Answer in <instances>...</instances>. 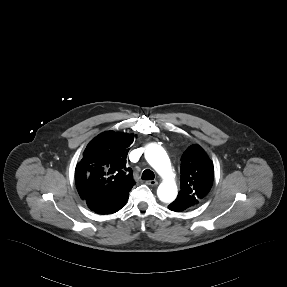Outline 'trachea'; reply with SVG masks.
<instances>
[{"label": "trachea", "mask_w": 287, "mask_h": 287, "mask_svg": "<svg viewBox=\"0 0 287 287\" xmlns=\"http://www.w3.org/2000/svg\"><path fill=\"white\" fill-rule=\"evenodd\" d=\"M155 177L153 171H151L150 169H146L143 173H142V180H153Z\"/></svg>", "instance_id": "3493384b"}]
</instances>
